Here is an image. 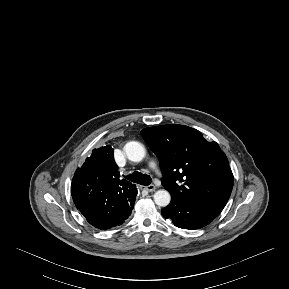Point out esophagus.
I'll return each mask as SVG.
<instances>
[{
	"mask_svg": "<svg viewBox=\"0 0 289 289\" xmlns=\"http://www.w3.org/2000/svg\"><path fill=\"white\" fill-rule=\"evenodd\" d=\"M145 190H147L148 192H153L155 191L156 187L154 185H148V186H144L143 187Z\"/></svg>",
	"mask_w": 289,
	"mask_h": 289,
	"instance_id": "obj_1",
	"label": "esophagus"
}]
</instances>
